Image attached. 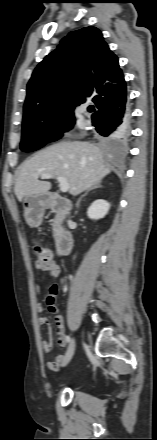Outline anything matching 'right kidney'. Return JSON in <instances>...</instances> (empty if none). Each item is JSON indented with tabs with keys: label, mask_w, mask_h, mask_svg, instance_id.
Returning <instances> with one entry per match:
<instances>
[{
	"label": "right kidney",
	"mask_w": 157,
	"mask_h": 440,
	"mask_svg": "<svg viewBox=\"0 0 157 440\" xmlns=\"http://www.w3.org/2000/svg\"><path fill=\"white\" fill-rule=\"evenodd\" d=\"M109 209L110 204L107 201L103 199H97L88 208L87 216L92 220H98L105 217Z\"/></svg>",
	"instance_id": "1"
}]
</instances>
